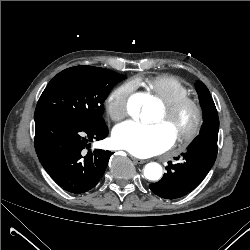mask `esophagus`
Wrapping results in <instances>:
<instances>
[{
    "instance_id": "34e87169",
    "label": "esophagus",
    "mask_w": 250,
    "mask_h": 250,
    "mask_svg": "<svg viewBox=\"0 0 250 250\" xmlns=\"http://www.w3.org/2000/svg\"><path fill=\"white\" fill-rule=\"evenodd\" d=\"M132 160H133L134 163H136V164H143V163L146 162L145 160H142V159H139V158H136V157H132Z\"/></svg>"
}]
</instances>
